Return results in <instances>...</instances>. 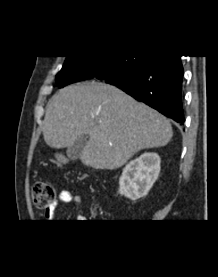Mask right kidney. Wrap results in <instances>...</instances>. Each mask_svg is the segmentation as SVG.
<instances>
[{
	"label": "right kidney",
	"mask_w": 218,
	"mask_h": 277,
	"mask_svg": "<svg viewBox=\"0 0 218 277\" xmlns=\"http://www.w3.org/2000/svg\"><path fill=\"white\" fill-rule=\"evenodd\" d=\"M160 163L157 153H144L130 161L119 179V193L131 200L146 196L158 178Z\"/></svg>",
	"instance_id": "right-kidney-1"
}]
</instances>
